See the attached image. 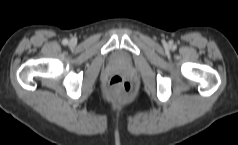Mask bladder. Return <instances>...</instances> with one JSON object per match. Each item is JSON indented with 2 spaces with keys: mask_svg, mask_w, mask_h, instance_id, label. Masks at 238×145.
I'll return each instance as SVG.
<instances>
[{
  "mask_svg": "<svg viewBox=\"0 0 238 145\" xmlns=\"http://www.w3.org/2000/svg\"><path fill=\"white\" fill-rule=\"evenodd\" d=\"M112 61L118 65H126L129 63L127 55L121 51L115 52L112 56Z\"/></svg>",
  "mask_w": 238,
  "mask_h": 145,
  "instance_id": "obj_1",
  "label": "bladder"
}]
</instances>
